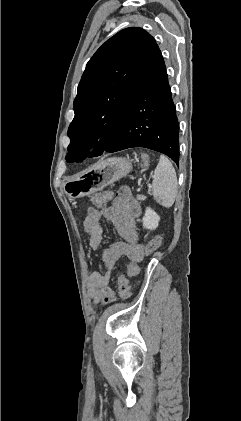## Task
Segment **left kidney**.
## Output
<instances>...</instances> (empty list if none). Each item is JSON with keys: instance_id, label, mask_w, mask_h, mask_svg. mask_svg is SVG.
Here are the masks:
<instances>
[{"instance_id": "obj_1", "label": "left kidney", "mask_w": 241, "mask_h": 421, "mask_svg": "<svg viewBox=\"0 0 241 421\" xmlns=\"http://www.w3.org/2000/svg\"><path fill=\"white\" fill-rule=\"evenodd\" d=\"M160 217L158 214L152 210L150 207H147L143 217V227L146 229L154 230L158 227Z\"/></svg>"}]
</instances>
